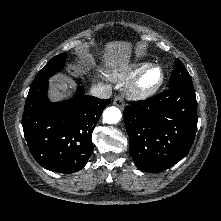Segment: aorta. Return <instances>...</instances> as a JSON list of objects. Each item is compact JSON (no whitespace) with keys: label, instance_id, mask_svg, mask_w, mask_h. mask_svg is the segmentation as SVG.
<instances>
[{"label":"aorta","instance_id":"obj_1","mask_svg":"<svg viewBox=\"0 0 221 221\" xmlns=\"http://www.w3.org/2000/svg\"><path fill=\"white\" fill-rule=\"evenodd\" d=\"M121 111L114 106L108 107L103 112V121L107 124H116L121 119Z\"/></svg>","mask_w":221,"mask_h":221}]
</instances>
